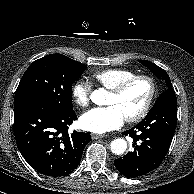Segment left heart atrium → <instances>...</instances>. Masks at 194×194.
Masks as SVG:
<instances>
[{
  "label": "left heart atrium",
  "mask_w": 194,
  "mask_h": 194,
  "mask_svg": "<svg viewBox=\"0 0 194 194\" xmlns=\"http://www.w3.org/2000/svg\"><path fill=\"white\" fill-rule=\"evenodd\" d=\"M125 117L116 106L93 108L84 113L79 119V125L82 129L94 132L104 133L115 130L122 126Z\"/></svg>",
  "instance_id": "39dd6f15"
}]
</instances>
